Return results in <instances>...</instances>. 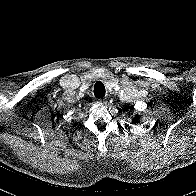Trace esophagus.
Segmentation results:
<instances>
[{
  "label": "esophagus",
  "instance_id": "1",
  "mask_svg": "<svg viewBox=\"0 0 196 196\" xmlns=\"http://www.w3.org/2000/svg\"><path fill=\"white\" fill-rule=\"evenodd\" d=\"M103 102H104V99H102V98H99V99L97 100V103L102 104Z\"/></svg>",
  "mask_w": 196,
  "mask_h": 196
}]
</instances>
